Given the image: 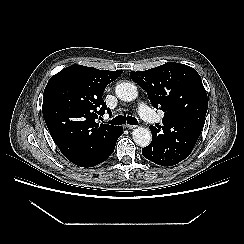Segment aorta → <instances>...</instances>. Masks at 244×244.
<instances>
[{"label":"aorta","mask_w":244,"mask_h":244,"mask_svg":"<svg viewBox=\"0 0 244 244\" xmlns=\"http://www.w3.org/2000/svg\"><path fill=\"white\" fill-rule=\"evenodd\" d=\"M116 96L122 101H133L138 96L137 87L128 82H122L115 88ZM133 141L140 147H146L150 144L152 135L149 129L145 127H136L132 132Z\"/></svg>","instance_id":"obj_1"}]
</instances>
